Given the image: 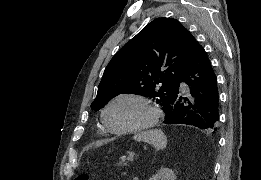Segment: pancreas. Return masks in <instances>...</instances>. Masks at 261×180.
Instances as JSON below:
<instances>
[{"instance_id": "pancreas-1", "label": "pancreas", "mask_w": 261, "mask_h": 180, "mask_svg": "<svg viewBox=\"0 0 261 180\" xmlns=\"http://www.w3.org/2000/svg\"><path fill=\"white\" fill-rule=\"evenodd\" d=\"M125 164H128L127 158H125V160L124 159H117L116 169L117 170H124Z\"/></svg>"}]
</instances>
